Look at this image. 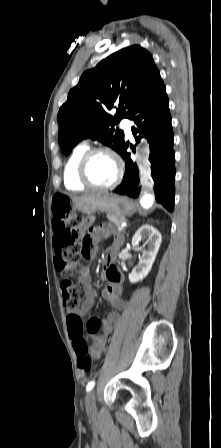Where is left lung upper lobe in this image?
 I'll return each mask as SVG.
<instances>
[{
	"label": "left lung upper lobe",
	"instance_id": "5c2ea615",
	"mask_svg": "<svg viewBox=\"0 0 221 448\" xmlns=\"http://www.w3.org/2000/svg\"><path fill=\"white\" fill-rule=\"evenodd\" d=\"M164 86L150 53L140 45L123 48L85 71L58 113V141L68 155L84 138L120 153L124 133L114 126L133 119L145 101ZM117 108L115 115L109 113Z\"/></svg>",
	"mask_w": 221,
	"mask_h": 448
}]
</instances>
